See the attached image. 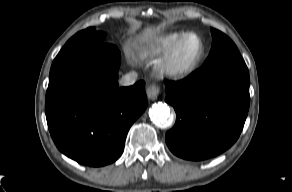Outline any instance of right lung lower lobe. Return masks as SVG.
<instances>
[{"label":"right lung lower lobe","mask_w":292,"mask_h":192,"mask_svg":"<svg viewBox=\"0 0 292 192\" xmlns=\"http://www.w3.org/2000/svg\"><path fill=\"white\" fill-rule=\"evenodd\" d=\"M119 64V50L108 43L63 47L52 63L48 128L57 148L80 164L117 160L129 128L147 107L144 81L118 86Z\"/></svg>","instance_id":"obj_1"}]
</instances>
